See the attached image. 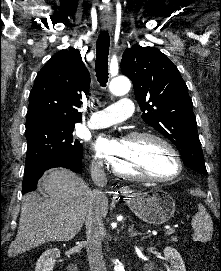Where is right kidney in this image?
<instances>
[{
	"instance_id": "ca27d5eb",
	"label": "right kidney",
	"mask_w": 221,
	"mask_h": 271,
	"mask_svg": "<svg viewBox=\"0 0 221 271\" xmlns=\"http://www.w3.org/2000/svg\"><path fill=\"white\" fill-rule=\"evenodd\" d=\"M60 249L58 247H50V249H45L41 253L37 263L35 265V271H53L56 257H60Z\"/></svg>"
}]
</instances>
